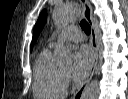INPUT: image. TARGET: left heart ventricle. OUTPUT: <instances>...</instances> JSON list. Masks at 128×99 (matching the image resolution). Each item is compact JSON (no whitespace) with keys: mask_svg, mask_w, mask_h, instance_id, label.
Instances as JSON below:
<instances>
[{"mask_svg":"<svg viewBox=\"0 0 128 99\" xmlns=\"http://www.w3.org/2000/svg\"><path fill=\"white\" fill-rule=\"evenodd\" d=\"M68 70H69V68H64L63 69V71L66 72V73L68 72Z\"/></svg>","mask_w":128,"mask_h":99,"instance_id":"obj_1","label":"left heart ventricle"}]
</instances>
